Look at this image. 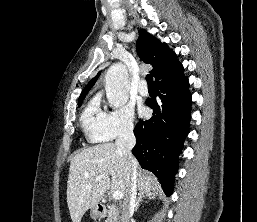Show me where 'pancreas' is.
I'll return each instance as SVG.
<instances>
[{
	"label": "pancreas",
	"mask_w": 257,
	"mask_h": 222,
	"mask_svg": "<svg viewBox=\"0 0 257 222\" xmlns=\"http://www.w3.org/2000/svg\"><path fill=\"white\" fill-rule=\"evenodd\" d=\"M108 210V217L105 222H119L118 212L114 205H110Z\"/></svg>",
	"instance_id": "pancreas-1"
}]
</instances>
